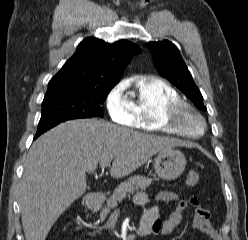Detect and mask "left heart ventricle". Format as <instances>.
Here are the masks:
<instances>
[{"instance_id":"left-heart-ventricle-1","label":"left heart ventricle","mask_w":248,"mask_h":240,"mask_svg":"<svg viewBox=\"0 0 248 240\" xmlns=\"http://www.w3.org/2000/svg\"><path fill=\"white\" fill-rule=\"evenodd\" d=\"M185 127L193 133H199L202 130L201 122L192 114H186L184 117Z\"/></svg>"}]
</instances>
